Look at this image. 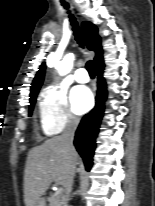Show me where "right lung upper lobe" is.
<instances>
[{"label": "right lung upper lobe", "mask_w": 155, "mask_h": 206, "mask_svg": "<svg viewBox=\"0 0 155 206\" xmlns=\"http://www.w3.org/2000/svg\"><path fill=\"white\" fill-rule=\"evenodd\" d=\"M82 29L86 36L88 49L95 51L96 53L94 60L96 66L98 67L103 64V57H102L103 51L101 48L100 37H98L97 35L98 30L94 24L88 21L82 23ZM44 74H45V64L43 63L40 66L39 71L37 72L33 80L31 91H30V97H33L38 94V91L44 79Z\"/></svg>", "instance_id": "obj_1"}]
</instances>
